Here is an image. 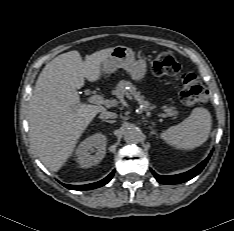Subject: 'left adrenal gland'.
<instances>
[{"label": "left adrenal gland", "mask_w": 234, "mask_h": 231, "mask_svg": "<svg viewBox=\"0 0 234 231\" xmlns=\"http://www.w3.org/2000/svg\"><path fill=\"white\" fill-rule=\"evenodd\" d=\"M149 128L151 130V132H150L151 135L156 134V131L154 130V128L152 126H149Z\"/></svg>", "instance_id": "obj_1"}]
</instances>
